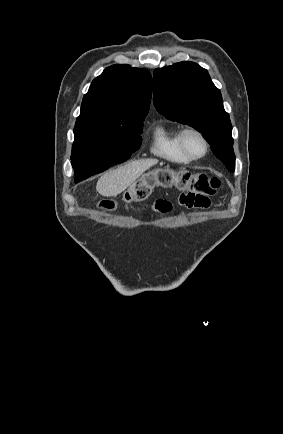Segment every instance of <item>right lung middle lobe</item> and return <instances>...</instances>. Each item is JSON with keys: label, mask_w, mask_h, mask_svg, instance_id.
Wrapping results in <instances>:
<instances>
[{"label": "right lung middle lobe", "mask_w": 283, "mask_h": 434, "mask_svg": "<svg viewBox=\"0 0 283 434\" xmlns=\"http://www.w3.org/2000/svg\"><path fill=\"white\" fill-rule=\"evenodd\" d=\"M143 121L127 124L75 125L71 155L75 182L129 159L140 147Z\"/></svg>", "instance_id": "dd1d6c3e"}]
</instances>
